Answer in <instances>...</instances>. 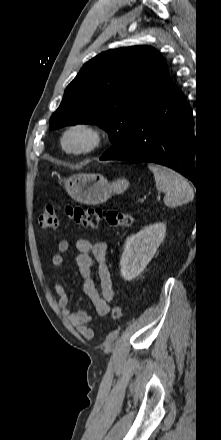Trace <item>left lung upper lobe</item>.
I'll list each match as a JSON object with an SVG mask.
<instances>
[{
    "label": "left lung upper lobe",
    "instance_id": "1",
    "mask_svg": "<svg viewBox=\"0 0 221 440\" xmlns=\"http://www.w3.org/2000/svg\"><path fill=\"white\" fill-rule=\"evenodd\" d=\"M170 81L165 59L152 47L103 52L89 60L68 85L50 128L97 124L113 143L103 156L117 157L129 146L142 113Z\"/></svg>",
    "mask_w": 221,
    "mask_h": 440
}]
</instances>
